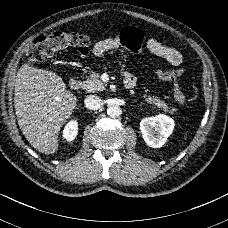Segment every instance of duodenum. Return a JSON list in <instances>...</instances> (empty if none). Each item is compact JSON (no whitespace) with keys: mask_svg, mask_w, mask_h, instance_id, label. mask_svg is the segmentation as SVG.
I'll use <instances>...</instances> for the list:
<instances>
[{"mask_svg":"<svg viewBox=\"0 0 228 228\" xmlns=\"http://www.w3.org/2000/svg\"><path fill=\"white\" fill-rule=\"evenodd\" d=\"M135 85V81L128 78L125 80V86L127 88H132ZM69 86L72 90L77 91L81 88L82 86V80L78 77H73L69 80Z\"/></svg>","mask_w":228,"mask_h":228,"instance_id":"duodenum-1","label":"duodenum"}]
</instances>
